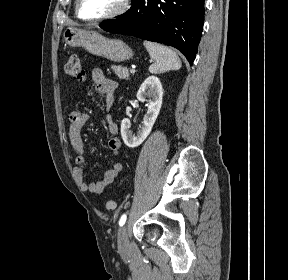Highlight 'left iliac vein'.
Wrapping results in <instances>:
<instances>
[{"mask_svg": "<svg viewBox=\"0 0 288 280\" xmlns=\"http://www.w3.org/2000/svg\"><path fill=\"white\" fill-rule=\"evenodd\" d=\"M129 245L128 235H127V224L121 226L118 230V247L121 250L127 249Z\"/></svg>", "mask_w": 288, "mask_h": 280, "instance_id": "4c4485c4", "label": "left iliac vein"}]
</instances>
